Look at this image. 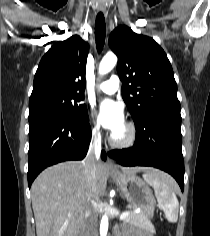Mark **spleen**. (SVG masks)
Wrapping results in <instances>:
<instances>
[{
  "mask_svg": "<svg viewBox=\"0 0 210 236\" xmlns=\"http://www.w3.org/2000/svg\"><path fill=\"white\" fill-rule=\"evenodd\" d=\"M144 180L153 187L158 205L163 209L169 222H176L178 219L179 202L172 189V179L167 175L163 176L155 172L143 174Z\"/></svg>",
  "mask_w": 210,
  "mask_h": 236,
  "instance_id": "3e777b00",
  "label": "spleen"
}]
</instances>
